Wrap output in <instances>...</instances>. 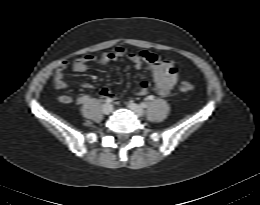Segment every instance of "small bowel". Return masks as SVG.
Returning <instances> with one entry per match:
<instances>
[{"mask_svg":"<svg viewBox=\"0 0 260 205\" xmlns=\"http://www.w3.org/2000/svg\"><path fill=\"white\" fill-rule=\"evenodd\" d=\"M124 57H126L136 69L141 68L143 65L148 67L152 74L154 89L158 94L167 96L176 85L178 71L170 59H160L157 55L148 51L127 53L124 47L118 46L114 50L104 53L101 56L87 55L73 62L63 61L54 73L53 86L58 91H64L68 88L69 85L65 80V76L67 70L71 67L75 71L83 72L92 64L106 65L117 62ZM85 87L91 88L89 84H86ZM148 91L149 84L145 81L141 82L137 93L139 95H146ZM100 94L115 104L119 103V99L106 87L100 90ZM58 100L63 104H70L72 97L68 94H60ZM85 101V96L79 98L80 103H84Z\"/></svg>","mask_w":260,"mask_h":205,"instance_id":"small-bowel-1","label":"small bowel"}]
</instances>
